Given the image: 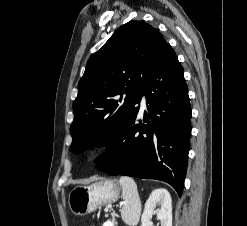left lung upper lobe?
Wrapping results in <instances>:
<instances>
[{
  "instance_id": "5c2ea615",
  "label": "left lung upper lobe",
  "mask_w": 247,
  "mask_h": 226,
  "mask_svg": "<svg viewBox=\"0 0 247 226\" xmlns=\"http://www.w3.org/2000/svg\"><path fill=\"white\" fill-rule=\"evenodd\" d=\"M166 44L158 29L130 21L90 57L73 102L70 151L76 154L115 141Z\"/></svg>"
}]
</instances>
